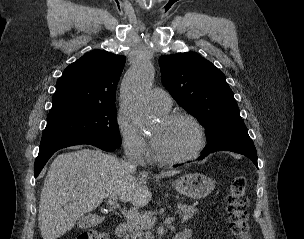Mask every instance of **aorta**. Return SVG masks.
<instances>
[{"label":"aorta","mask_w":304,"mask_h":239,"mask_svg":"<svg viewBox=\"0 0 304 239\" xmlns=\"http://www.w3.org/2000/svg\"><path fill=\"white\" fill-rule=\"evenodd\" d=\"M153 78L154 68L151 61L142 58L136 62L122 82L121 101L134 121L141 126H146L151 121L147 93L152 86Z\"/></svg>","instance_id":"762f6f07"}]
</instances>
